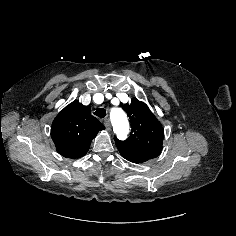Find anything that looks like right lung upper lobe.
<instances>
[{"label": "right lung upper lobe", "mask_w": 236, "mask_h": 236, "mask_svg": "<svg viewBox=\"0 0 236 236\" xmlns=\"http://www.w3.org/2000/svg\"><path fill=\"white\" fill-rule=\"evenodd\" d=\"M103 129L104 125L91 115L90 109L75 100L54 119L51 138L59 154L77 159L88 152L92 139Z\"/></svg>", "instance_id": "1"}]
</instances>
